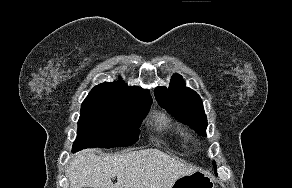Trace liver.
<instances>
[{"instance_id":"obj_1","label":"liver","mask_w":292,"mask_h":188,"mask_svg":"<svg viewBox=\"0 0 292 188\" xmlns=\"http://www.w3.org/2000/svg\"><path fill=\"white\" fill-rule=\"evenodd\" d=\"M196 170L155 148L103 156L84 150L72 156L68 176L70 188H170Z\"/></svg>"}]
</instances>
